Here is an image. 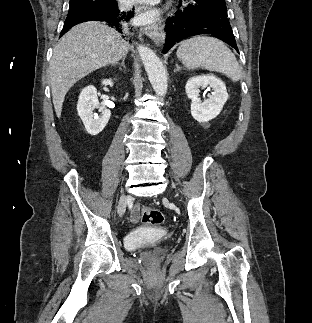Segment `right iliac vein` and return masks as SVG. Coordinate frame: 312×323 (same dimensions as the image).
<instances>
[{"label": "right iliac vein", "instance_id": "63e3f726", "mask_svg": "<svg viewBox=\"0 0 312 323\" xmlns=\"http://www.w3.org/2000/svg\"><path fill=\"white\" fill-rule=\"evenodd\" d=\"M129 197L127 195H122L120 197V200L118 202V214L119 216H122L125 213L126 210V201Z\"/></svg>", "mask_w": 312, "mask_h": 323}]
</instances>
